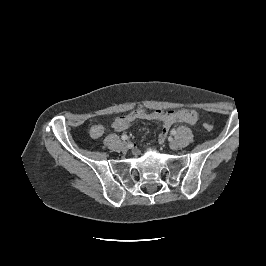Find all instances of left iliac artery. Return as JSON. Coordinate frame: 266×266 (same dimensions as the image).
I'll use <instances>...</instances> for the list:
<instances>
[{"instance_id": "obj_1", "label": "left iliac artery", "mask_w": 266, "mask_h": 266, "mask_svg": "<svg viewBox=\"0 0 266 266\" xmlns=\"http://www.w3.org/2000/svg\"><path fill=\"white\" fill-rule=\"evenodd\" d=\"M171 134H172V135H175V134H176V130H175V129H172V130H171Z\"/></svg>"}]
</instances>
